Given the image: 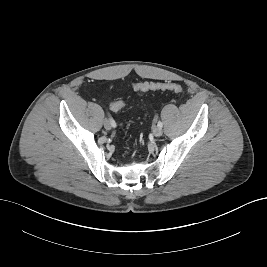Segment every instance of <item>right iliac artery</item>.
<instances>
[{
  "mask_svg": "<svg viewBox=\"0 0 267 267\" xmlns=\"http://www.w3.org/2000/svg\"><path fill=\"white\" fill-rule=\"evenodd\" d=\"M110 124L112 127H116V123L112 118H110Z\"/></svg>",
  "mask_w": 267,
  "mask_h": 267,
  "instance_id": "1",
  "label": "right iliac artery"
}]
</instances>
